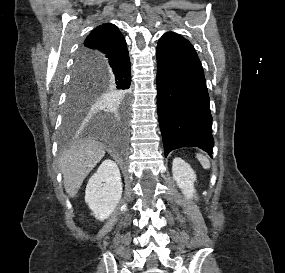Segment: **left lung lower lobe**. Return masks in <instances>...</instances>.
<instances>
[{
  "label": "left lung lower lobe",
  "mask_w": 285,
  "mask_h": 273,
  "mask_svg": "<svg viewBox=\"0 0 285 273\" xmlns=\"http://www.w3.org/2000/svg\"><path fill=\"white\" fill-rule=\"evenodd\" d=\"M157 110L165 157L195 146L212 157V116L201 62L193 45L174 32L157 45Z\"/></svg>",
  "instance_id": "1"
}]
</instances>
